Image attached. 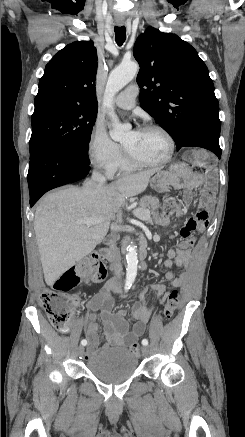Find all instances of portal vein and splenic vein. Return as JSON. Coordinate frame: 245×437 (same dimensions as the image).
I'll use <instances>...</instances> for the list:
<instances>
[{
    "label": "portal vein and splenic vein",
    "instance_id": "18ae733b",
    "mask_svg": "<svg viewBox=\"0 0 245 437\" xmlns=\"http://www.w3.org/2000/svg\"><path fill=\"white\" fill-rule=\"evenodd\" d=\"M133 207H135V205ZM134 214L143 220L150 217V212L148 210H146L143 214H138L136 212H134ZM113 218H115V216H113ZM101 221H102L101 218L93 217V218H86V219L80 220L78 222L86 224L87 226H91V225L97 224Z\"/></svg>",
    "mask_w": 245,
    "mask_h": 437
}]
</instances>
